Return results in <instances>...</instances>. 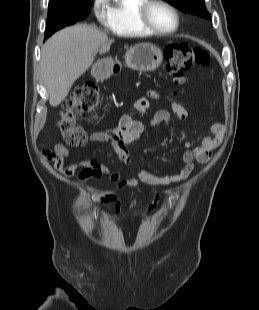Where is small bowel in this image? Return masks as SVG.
I'll return each mask as SVG.
<instances>
[{
  "mask_svg": "<svg viewBox=\"0 0 259 310\" xmlns=\"http://www.w3.org/2000/svg\"><path fill=\"white\" fill-rule=\"evenodd\" d=\"M157 97V94H149L140 98L130 110L119 117L115 126L90 134L88 139L90 143H108L116 152L117 166L112 172L109 171L104 161L94 158L65 165V159L70 158L72 153L68 146L60 143L56 144L52 149L43 148L41 150L42 158L52 162L55 170L67 178L77 175V179L82 185H85L89 179L102 178L109 175L110 180L115 183L117 191L134 187L139 182L155 189L186 180L194 170V162L207 163L211 159L213 152L221 145L224 136L222 124H213L211 126L212 135L204 137L199 146L191 149L189 142L184 143V147L187 150L182 156L183 168L178 173L173 175H156L140 168L135 176L129 175L122 178L125 167L132 162V156L128 152L127 144L136 140L144 132L143 124L136 117L145 113L150 100ZM170 107L180 120H185L188 117V111L181 104L171 101ZM170 120V113L166 110H160L152 118L151 125L155 128L167 126L170 124ZM94 197L102 203L112 204L116 216L121 213L122 205L117 193H95ZM158 201L159 195L155 192L149 210H153Z\"/></svg>",
  "mask_w": 259,
  "mask_h": 310,
  "instance_id": "small-bowel-1",
  "label": "small bowel"
}]
</instances>
